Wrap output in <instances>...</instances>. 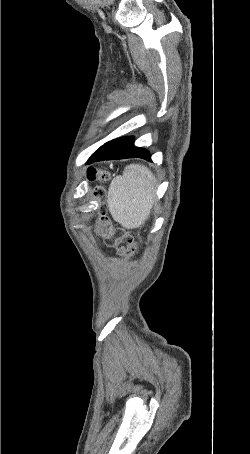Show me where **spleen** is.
I'll use <instances>...</instances> for the list:
<instances>
[{"instance_id":"spleen-1","label":"spleen","mask_w":250,"mask_h":454,"mask_svg":"<svg viewBox=\"0 0 250 454\" xmlns=\"http://www.w3.org/2000/svg\"><path fill=\"white\" fill-rule=\"evenodd\" d=\"M155 177L145 166L131 164L122 176L115 177L108 191L109 211L121 226H142L150 215L155 199Z\"/></svg>"}]
</instances>
